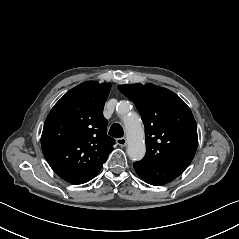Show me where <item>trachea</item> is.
<instances>
[{"instance_id":"trachea-1","label":"trachea","mask_w":239,"mask_h":239,"mask_svg":"<svg viewBox=\"0 0 239 239\" xmlns=\"http://www.w3.org/2000/svg\"><path fill=\"white\" fill-rule=\"evenodd\" d=\"M109 135L115 138H121L124 135L123 128L120 124L115 123L109 129Z\"/></svg>"}]
</instances>
